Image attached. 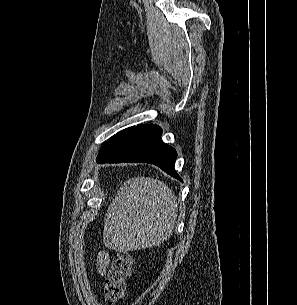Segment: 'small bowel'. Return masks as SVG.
I'll return each mask as SVG.
<instances>
[{"mask_svg":"<svg viewBox=\"0 0 297 305\" xmlns=\"http://www.w3.org/2000/svg\"><path fill=\"white\" fill-rule=\"evenodd\" d=\"M109 263V255L105 252H101L97 256V268L101 275H104Z\"/></svg>","mask_w":297,"mask_h":305,"instance_id":"c3829d8e","label":"small bowel"}]
</instances>
